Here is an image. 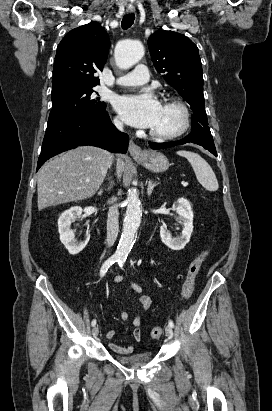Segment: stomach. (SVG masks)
<instances>
[{"label":"stomach","mask_w":272,"mask_h":411,"mask_svg":"<svg viewBox=\"0 0 272 411\" xmlns=\"http://www.w3.org/2000/svg\"><path fill=\"white\" fill-rule=\"evenodd\" d=\"M152 172H164L169 167L167 157L160 152H149L143 157H134Z\"/></svg>","instance_id":"stomach-1"}]
</instances>
